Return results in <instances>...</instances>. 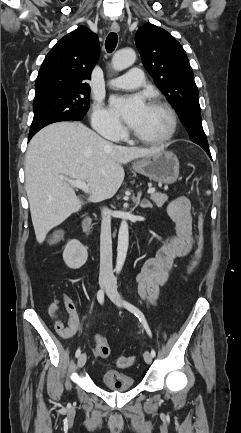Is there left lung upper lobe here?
<instances>
[{"instance_id": "left-lung-upper-lobe-1", "label": "left lung upper lobe", "mask_w": 241, "mask_h": 433, "mask_svg": "<svg viewBox=\"0 0 241 433\" xmlns=\"http://www.w3.org/2000/svg\"><path fill=\"white\" fill-rule=\"evenodd\" d=\"M135 43L146 70L178 110L190 139L202 148L209 147L201 122L198 88L181 44L166 30L150 23L138 29Z\"/></svg>"}]
</instances>
